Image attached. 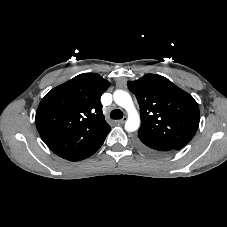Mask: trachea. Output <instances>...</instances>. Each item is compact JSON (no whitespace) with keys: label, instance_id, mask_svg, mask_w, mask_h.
Masks as SVG:
<instances>
[{"label":"trachea","instance_id":"trachea-1","mask_svg":"<svg viewBox=\"0 0 227 227\" xmlns=\"http://www.w3.org/2000/svg\"><path fill=\"white\" fill-rule=\"evenodd\" d=\"M123 112L120 109H115L110 113L111 119H122Z\"/></svg>","mask_w":227,"mask_h":227}]
</instances>
